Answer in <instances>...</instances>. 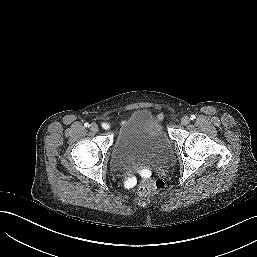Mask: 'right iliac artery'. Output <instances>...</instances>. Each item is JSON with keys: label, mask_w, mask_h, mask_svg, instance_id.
Wrapping results in <instances>:
<instances>
[{"label": "right iliac artery", "mask_w": 257, "mask_h": 257, "mask_svg": "<svg viewBox=\"0 0 257 257\" xmlns=\"http://www.w3.org/2000/svg\"><path fill=\"white\" fill-rule=\"evenodd\" d=\"M84 126L85 127H89L90 125H89V123H85Z\"/></svg>", "instance_id": "right-iliac-artery-1"}]
</instances>
